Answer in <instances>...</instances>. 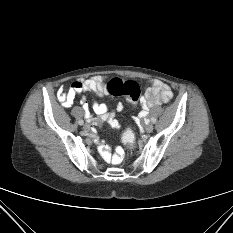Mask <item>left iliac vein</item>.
<instances>
[{"instance_id": "obj_1", "label": "left iliac vein", "mask_w": 233, "mask_h": 233, "mask_svg": "<svg viewBox=\"0 0 233 233\" xmlns=\"http://www.w3.org/2000/svg\"><path fill=\"white\" fill-rule=\"evenodd\" d=\"M145 131H146L147 133H151V132L153 131V125H152V124H147V125L145 126Z\"/></svg>"}]
</instances>
